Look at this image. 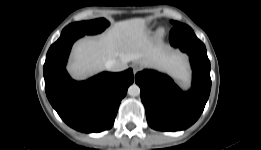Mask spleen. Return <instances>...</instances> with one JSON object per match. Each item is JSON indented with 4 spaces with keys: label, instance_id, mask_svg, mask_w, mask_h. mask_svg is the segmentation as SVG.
<instances>
[{
    "label": "spleen",
    "instance_id": "spleen-1",
    "mask_svg": "<svg viewBox=\"0 0 261 150\" xmlns=\"http://www.w3.org/2000/svg\"><path fill=\"white\" fill-rule=\"evenodd\" d=\"M178 77H179V79H180L183 83H185V82L187 81V76H186L185 74H181V75H179Z\"/></svg>",
    "mask_w": 261,
    "mask_h": 150
}]
</instances>
